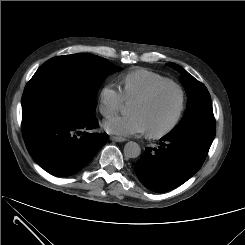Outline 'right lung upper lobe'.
<instances>
[{
  "mask_svg": "<svg viewBox=\"0 0 245 245\" xmlns=\"http://www.w3.org/2000/svg\"><path fill=\"white\" fill-rule=\"evenodd\" d=\"M49 62H45L34 74L31 80L40 81L43 79L51 80L52 82L63 80V73L55 71L52 66L48 65ZM30 80V81H31Z\"/></svg>",
  "mask_w": 245,
  "mask_h": 245,
  "instance_id": "obj_1",
  "label": "right lung upper lobe"
}]
</instances>
